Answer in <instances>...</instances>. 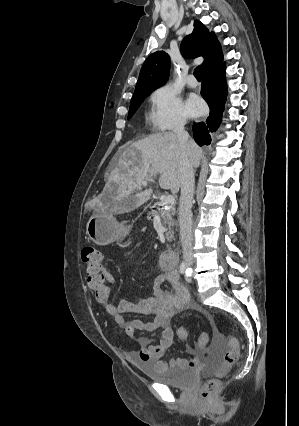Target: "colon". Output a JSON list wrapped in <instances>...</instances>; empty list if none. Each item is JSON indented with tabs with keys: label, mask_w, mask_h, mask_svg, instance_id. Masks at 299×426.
Returning <instances> with one entry per match:
<instances>
[{
	"label": "colon",
	"mask_w": 299,
	"mask_h": 426,
	"mask_svg": "<svg viewBox=\"0 0 299 426\" xmlns=\"http://www.w3.org/2000/svg\"><path fill=\"white\" fill-rule=\"evenodd\" d=\"M81 258L85 264L87 273V285L94 293L96 300L101 304L108 303L113 298L111 287L105 282L104 274L101 270L103 266V256L101 251L92 245H87L82 249ZM188 336L186 327L181 326L177 330V338L185 341ZM208 342V336L202 334L197 340L196 346L203 348ZM228 350L224 355V365L216 370L214 375L207 379L200 389V397L204 401H209L216 394L220 379L223 378L228 368L232 366L239 356V345L235 337L229 336L227 338Z\"/></svg>",
	"instance_id": "obj_1"
}]
</instances>
